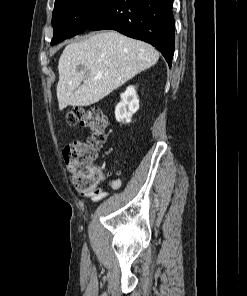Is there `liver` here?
Returning <instances> with one entry per match:
<instances>
[{
  "label": "liver",
  "instance_id": "1",
  "mask_svg": "<svg viewBox=\"0 0 247 296\" xmlns=\"http://www.w3.org/2000/svg\"><path fill=\"white\" fill-rule=\"evenodd\" d=\"M158 59L153 46L116 31L68 44L58 63L59 109L97 103Z\"/></svg>",
  "mask_w": 247,
  "mask_h": 296
}]
</instances>
